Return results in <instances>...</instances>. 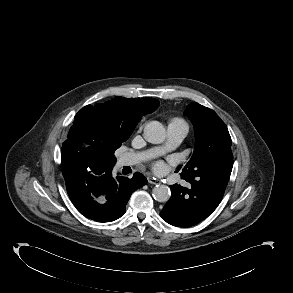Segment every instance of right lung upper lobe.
Listing matches in <instances>:
<instances>
[{
	"label": "right lung upper lobe",
	"instance_id": "right-lung-upper-lobe-1",
	"mask_svg": "<svg viewBox=\"0 0 293 293\" xmlns=\"http://www.w3.org/2000/svg\"><path fill=\"white\" fill-rule=\"evenodd\" d=\"M158 105L159 101L155 98L115 97L104 104L87 105L82 108L75 116L68 139L62 145L61 162L64 178L95 160L92 153L104 141H126L141 117L152 113ZM82 142L90 146L81 149Z\"/></svg>",
	"mask_w": 293,
	"mask_h": 293
}]
</instances>
